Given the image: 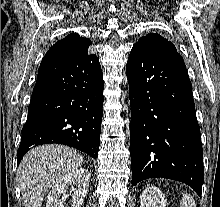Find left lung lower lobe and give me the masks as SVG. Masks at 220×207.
Returning <instances> with one entry per match:
<instances>
[{
  "label": "left lung lower lobe",
  "mask_w": 220,
  "mask_h": 207,
  "mask_svg": "<svg viewBox=\"0 0 220 207\" xmlns=\"http://www.w3.org/2000/svg\"><path fill=\"white\" fill-rule=\"evenodd\" d=\"M126 75L133 185L147 178H169L188 184L201 197L203 149L183 58L134 45Z\"/></svg>",
  "instance_id": "0a47b994"
}]
</instances>
